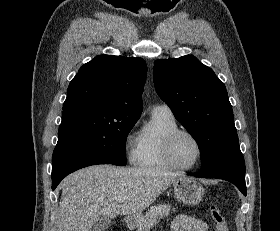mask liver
Returning a JSON list of instances; mask_svg holds the SVG:
<instances>
[{
	"instance_id": "obj_1",
	"label": "liver",
	"mask_w": 280,
	"mask_h": 231,
	"mask_svg": "<svg viewBox=\"0 0 280 231\" xmlns=\"http://www.w3.org/2000/svg\"><path fill=\"white\" fill-rule=\"evenodd\" d=\"M180 173H155L143 167L90 165L67 175L60 183L62 195L55 231H91L98 217L131 215L142 211L167 189ZM124 199V201H119Z\"/></svg>"
}]
</instances>
